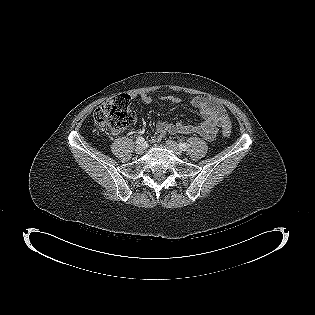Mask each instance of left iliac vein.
<instances>
[{
  "label": "left iliac vein",
  "instance_id": "4c4485c4",
  "mask_svg": "<svg viewBox=\"0 0 315 315\" xmlns=\"http://www.w3.org/2000/svg\"><path fill=\"white\" fill-rule=\"evenodd\" d=\"M166 145H167L168 149L173 151V153L176 154L177 156L182 155V149L179 147V145L175 141L167 140Z\"/></svg>",
  "mask_w": 315,
  "mask_h": 315
}]
</instances>
